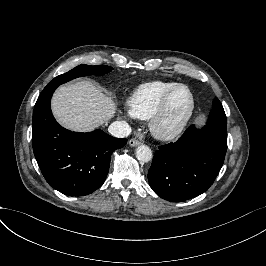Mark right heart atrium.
<instances>
[{"instance_id":"obj_1","label":"right heart atrium","mask_w":266,"mask_h":266,"mask_svg":"<svg viewBox=\"0 0 266 266\" xmlns=\"http://www.w3.org/2000/svg\"><path fill=\"white\" fill-rule=\"evenodd\" d=\"M124 113L127 115V116H132V113L129 109H124Z\"/></svg>"}]
</instances>
